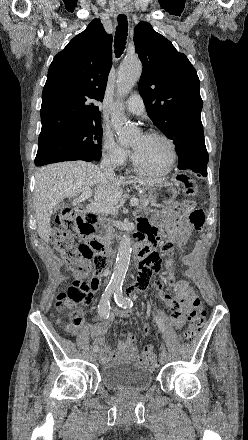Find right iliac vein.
<instances>
[{"label": "right iliac vein", "mask_w": 248, "mask_h": 440, "mask_svg": "<svg viewBox=\"0 0 248 440\" xmlns=\"http://www.w3.org/2000/svg\"><path fill=\"white\" fill-rule=\"evenodd\" d=\"M96 358H97L96 352H92L91 353V359L94 361V360H96Z\"/></svg>", "instance_id": "right-iliac-vein-1"}]
</instances>
